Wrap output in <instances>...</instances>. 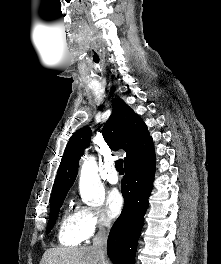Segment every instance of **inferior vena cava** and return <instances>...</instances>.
<instances>
[{
    "instance_id": "inferior-vena-cava-1",
    "label": "inferior vena cava",
    "mask_w": 221,
    "mask_h": 264,
    "mask_svg": "<svg viewBox=\"0 0 221 264\" xmlns=\"http://www.w3.org/2000/svg\"><path fill=\"white\" fill-rule=\"evenodd\" d=\"M110 227V222L108 220H103L99 231L93 238V249L96 253L97 259L100 264H107L106 261V245L108 238V230L106 228Z\"/></svg>"
}]
</instances>
